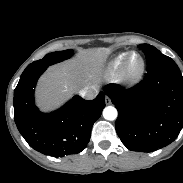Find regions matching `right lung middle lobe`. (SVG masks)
Segmentation results:
<instances>
[{
    "label": "right lung middle lobe",
    "mask_w": 183,
    "mask_h": 183,
    "mask_svg": "<svg viewBox=\"0 0 183 183\" xmlns=\"http://www.w3.org/2000/svg\"><path fill=\"white\" fill-rule=\"evenodd\" d=\"M72 55H73V50H71V49L49 53V54L45 55L42 59H40L38 61H34L33 63L29 64L27 67L28 68L48 67L55 63L66 60V59L70 58Z\"/></svg>",
    "instance_id": "obj_1"
}]
</instances>
